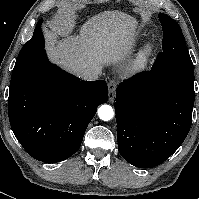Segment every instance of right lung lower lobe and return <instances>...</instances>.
I'll list each match as a JSON object with an SVG mask.
<instances>
[{
	"label": "right lung lower lobe",
	"instance_id": "right-lung-lower-lobe-1",
	"mask_svg": "<svg viewBox=\"0 0 199 199\" xmlns=\"http://www.w3.org/2000/svg\"><path fill=\"white\" fill-rule=\"evenodd\" d=\"M107 99L104 80L81 81L51 64L43 50L13 70L8 116L29 155L56 163L77 152L97 107Z\"/></svg>",
	"mask_w": 199,
	"mask_h": 199
}]
</instances>
